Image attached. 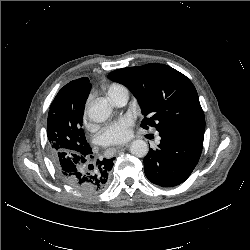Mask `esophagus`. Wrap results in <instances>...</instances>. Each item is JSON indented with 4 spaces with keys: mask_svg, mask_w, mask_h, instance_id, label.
Returning a JSON list of instances; mask_svg holds the SVG:
<instances>
[{
    "mask_svg": "<svg viewBox=\"0 0 250 250\" xmlns=\"http://www.w3.org/2000/svg\"><path fill=\"white\" fill-rule=\"evenodd\" d=\"M128 146H129V144H123V145L117 146V147L115 148V151H116V152L123 151V150H125L126 148H128Z\"/></svg>",
    "mask_w": 250,
    "mask_h": 250,
    "instance_id": "esophagus-1",
    "label": "esophagus"
}]
</instances>
